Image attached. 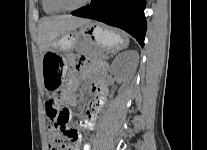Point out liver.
<instances>
[{"label": "liver", "instance_id": "liver-1", "mask_svg": "<svg viewBox=\"0 0 207 150\" xmlns=\"http://www.w3.org/2000/svg\"><path fill=\"white\" fill-rule=\"evenodd\" d=\"M90 23L89 19L69 15L44 17L38 25V44L41 52L47 51L61 35Z\"/></svg>", "mask_w": 207, "mask_h": 150}]
</instances>
